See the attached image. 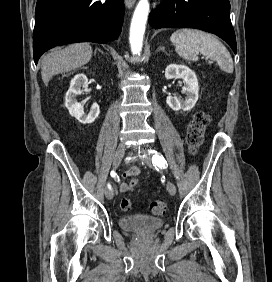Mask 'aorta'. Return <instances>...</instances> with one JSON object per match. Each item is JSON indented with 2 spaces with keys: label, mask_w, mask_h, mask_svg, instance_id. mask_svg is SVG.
I'll use <instances>...</instances> for the list:
<instances>
[{
  "label": "aorta",
  "mask_w": 272,
  "mask_h": 282,
  "mask_svg": "<svg viewBox=\"0 0 272 282\" xmlns=\"http://www.w3.org/2000/svg\"><path fill=\"white\" fill-rule=\"evenodd\" d=\"M149 13V1L140 0L136 6L130 26V46L133 55H139L143 46L146 22Z\"/></svg>",
  "instance_id": "1"
}]
</instances>
